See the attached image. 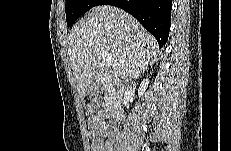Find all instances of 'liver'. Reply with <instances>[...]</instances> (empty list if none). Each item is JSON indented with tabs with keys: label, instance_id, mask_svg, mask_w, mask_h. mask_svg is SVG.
Instances as JSON below:
<instances>
[{
	"label": "liver",
	"instance_id": "6515ba94",
	"mask_svg": "<svg viewBox=\"0 0 231 151\" xmlns=\"http://www.w3.org/2000/svg\"><path fill=\"white\" fill-rule=\"evenodd\" d=\"M155 38L130 14L114 6L92 8L70 31L68 55L79 96L95 77V69L106 51L113 59V81L117 84L138 78L156 61Z\"/></svg>",
	"mask_w": 231,
	"mask_h": 151
}]
</instances>
